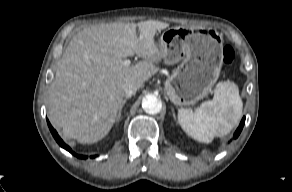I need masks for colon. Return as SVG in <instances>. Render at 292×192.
Wrapping results in <instances>:
<instances>
[{
	"label": "colon",
	"mask_w": 292,
	"mask_h": 192,
	"mask_svg": "<svg viewBox=\"0 0 292 192\" xmlns=\"http://www.w3.org/2000/svg\"><path fill=\"white\" fill-rule=\"evenodd\" d=\"M235 53L234 50L229 47L225 46L222 51V59L226 65H231L234 61Z\"/></svg>",
	"instance_id": "1"
}]
</instances>
